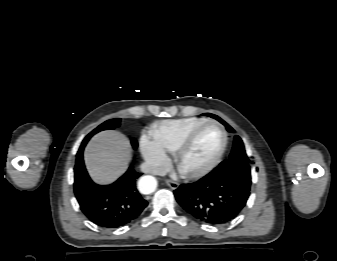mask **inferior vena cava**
Segmentation results:
<instances>
[{"label": "inferior vena cava", "mask_w": 337, "mask_h": 261, "mask_svg": "<svg viewBox=\"0 0 337 261\" xmlns=\"http://www.w3.org/2000/svg\"><path fill=\"white\" fill-rule=\"evenodd\" d=\"M141 171L148 174L164 176L166 170L158 164L151 162H144L141 164Z\"/></svg>", "instance_id": "obj_1"}]
</instances>
